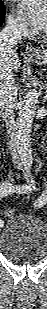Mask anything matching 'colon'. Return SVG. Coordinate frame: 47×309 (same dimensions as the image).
Listing matches in <instances>:
<instances>
[{"mask_svg":"<svg viewBox=\"0 0 47 309\" xmlns=\"http://www.w3.org/2000/svg\"><path fill=\"white\" fill-rule=\"evenodd\" d=\"M14 211L13 210H11V209H6L5 211H4V215L6 216V217H12V216H14Z\"/></svg>","mask_w":47,"mask_h":309,"instance_id":"colon-1","label":"colon"}]
</instances>
